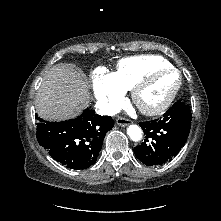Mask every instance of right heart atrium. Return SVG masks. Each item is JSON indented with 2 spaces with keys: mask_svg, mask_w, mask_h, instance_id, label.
Returning <instances> with one entry per match:
<instances>
[{
  "mask_svg": "<svg viewBox=\"0 0 221 221\" xmlns=\"http://www.w3.org/2000/svg\"><path fill=\"white\" fill-rule=\"evenodd\" d=\"M92 86L95 98L105 113L112 114L122 106L126 91L113 73L101 69L95 71Z\"/></svg>",
  "mask_w": 221,
  "mask_h": 221,
  "instance_id": "right-heart-atrium-1",
  "label": "right heart atrium"
}]
</instances>
